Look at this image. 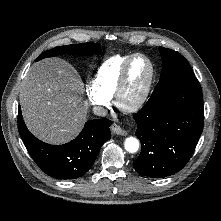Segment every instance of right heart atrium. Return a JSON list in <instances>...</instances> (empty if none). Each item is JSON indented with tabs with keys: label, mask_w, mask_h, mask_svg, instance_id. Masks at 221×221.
<instances>
[{
	"label": "right heart atrium",
	"mask_w": 221,
	"mask_h": 221,
	"mask_svg": "<svg viewBox=\"0 0 221 221\" xmlns=\"http://www.w3.org/2000/svg\"><path fill=\"white\" fill-rule=\"evenodd\" d=\"M85 91L88 100L97 110L103 111L110 106V99L99 93L93 83H88Z\"/></svg>",
	"instance_id": "obj_1"
}]
</instances>
